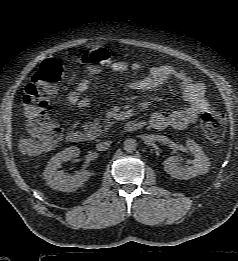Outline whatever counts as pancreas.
<instances>
[{
    "label": "pancreas",
    "mask_w": 238,
    "mask_h": 261,
    "mask_svg": "<svg viewBox=\"0 0 238 261\" xmlns=\"http://www.w3.org/2000/svg\"><path fill=\"white\" fill-rule=\"evenodd\" d=\"M104 124H106L105 128L102 130V125L100 119H95L93 122L86 123L83 127L84 131L87 133V135L91 138H95L102 133H105L108 131L109 127L113 124L108 119H105L103 121Z\"/></svg>",
    "instance_id": "pancreas-1"
}]
</instances>
